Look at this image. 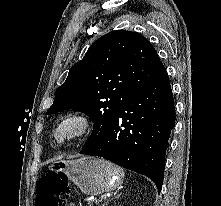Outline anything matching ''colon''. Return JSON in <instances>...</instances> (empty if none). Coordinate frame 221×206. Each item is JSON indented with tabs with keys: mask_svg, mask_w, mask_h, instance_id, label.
<instances>
[{
	"mask_svg": "<svg viewBox=\"0 0 221 206\" xmlns=\"http://www.w3.org/2000/svg\"><path fill=\"white\" fill-rule=\"evenodd\" d=\"M56 180L55 173H49L39 180L36 206H68L69 188L65 181Z\"/></svg>",
	"mask_w": 221,
	"mask_h": 206,
	"instance_id": "5ec220e1",
	"label": "colon"
}]
</instances>
